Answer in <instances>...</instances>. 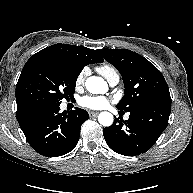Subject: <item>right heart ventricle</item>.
I'll return each instance as SVG.
<instances>
[{"mask_svg":"<svg viewBox=\"0 0 193 193\" xmlns=\"http://www.w3.org/2000/svg\"><path fill=\"white\" fill-rule=\"evenodd\" d=\"M97 71L107 80L114 74H118L116 69L108 64H103L97 67Z\"/></svg>","mask_w":193,"mask_h":193,"instance_id":"1","label":"right heart ventricle"}]
</instances>
